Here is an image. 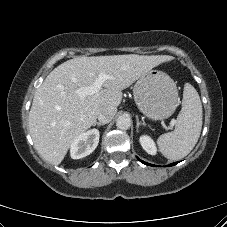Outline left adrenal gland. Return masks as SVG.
Returning <instances> with one entry per match:
<instances>
[{
  "mask_svg": "<svg viewBox=\"0 0 227 227\" xmlns=\"http://www.w3.org/2000/svg\"><path fill=\"white\" fill-rule=\"evenodd\" d=\"M136 121H137V123H136V127H137V132H138L139 126L144 125V124H143V123H141V122H139V118H138V116H136Z\"/></svg>",
  "mask_w": 227,
  "mask_h": 227,
  "instance_id": "a2214340",
  "label": "left adrenal gland"
}]
</instances>
